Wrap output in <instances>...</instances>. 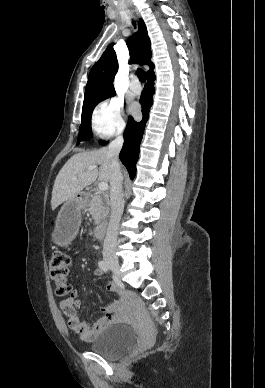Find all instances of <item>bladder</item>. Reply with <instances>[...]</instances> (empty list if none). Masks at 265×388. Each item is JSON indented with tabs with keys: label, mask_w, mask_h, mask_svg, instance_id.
<instances>
[{
	"label": "bladder",
	"mask_w": 265,
	"mask_h": 388,
	"mask_svg": "<svg viewBox=\"0 0 265 388\" xmlns=\"http://www.w3.org/2000/svg\"><path fill=\"white\" fill-rule=\"evenodd\" d=\"M136 334L132 327L116 325L106 328L93 340L90 349L105 357L117 355L126 351L134 344Z\"/></svg>",
	"instance_id": "bladder-1"
}]
</instances>
